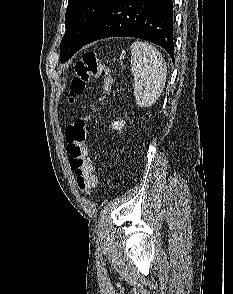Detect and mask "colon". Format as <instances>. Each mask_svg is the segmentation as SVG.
I'll use <instances>...</instances> for the list:
<instances>
[{"label": "colon", "mask_w": 233, "mask_h": 294, "mask_svg": "<svg viewBox=\"0 0 233 294\" xmlns=\"http://www.w3.org/2000/svg\"><path fill=\"white\" fill-rule=\"evenodd\" d=\"M97 77L104 79V92L108 93L112 85V79L108 74L106 66L95 52H85L74 66L69 101L73 103L84 92L89 82ZM87 123L88 117H76L67 126L66 139L70 166L77 176V184L84 194L90 195L96 186L97 178L89 156Z\"/></svg>", "instance_id": "5ec220e1"}]
</instances>
